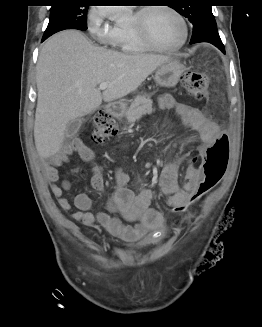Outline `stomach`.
I'll return each instance as SVG.
<instances>
[{
    "label": "stomach",
    "instance_id": "1",
    "mask_svg": "<svg viewBox=\"0 0 262 327\" xmlns=\"http://www.w3.org/2000/svg\"><path fill=\"white\" fill-rule=\"evenodd\" d=\"M183 72L184 66L178 60L171 59L158 67L154 79L160 86L174 87Z\"/></svg>",
    "mask_w": 262,
    "mask_h": 327
}]
</instances>
